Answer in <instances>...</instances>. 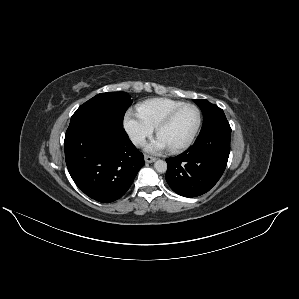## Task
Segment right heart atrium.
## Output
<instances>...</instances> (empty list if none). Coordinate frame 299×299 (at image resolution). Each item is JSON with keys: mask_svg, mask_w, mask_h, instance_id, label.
Returning a JSON list of instances; mask_svg holds the SVG:
<instances>
[{"mask_svg": "<svg viewBox=\"0 0 299 299\" xmlns=\"http://www.w3.org/2000/svg\"><path fill=\"white\" fill-rule=\"evenodd\" d=\"M124 129L127 132L130 140L136 146L144 144L153 132L154 127L148 124L138 113L128 111L123 119Z\"/></svg>", "mask_w": 299, "mask_h": 299, "instance_id": "1", "label": "right heart atrium"}]
</instances>
